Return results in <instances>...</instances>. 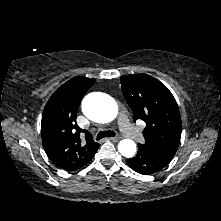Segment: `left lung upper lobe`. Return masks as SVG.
I'll list each match as a JSON object with an SVG mask.
<instances>
[{
  "label": "left lung upper lobe",
  "mask_w": 221,
  "mask_h": 221,
  "mask_svg": "<svg viewBox=\"0 0 221 221\" xmlns=\"http://www.w3.org/2000/svg\"><path fill=\"white\" fill-rule=\"evenodd\" d=\"M122 93L132 109L134 122H146L145 144L139 147L160 156L174 157L181 138V117L169 89L147 74L121 76Z\"/></svg>",
  "instance_id": "left-lung-upper-lobe-1"
}]
</instances>
